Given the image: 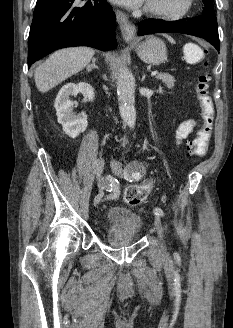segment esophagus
<instances>
[{"label": "esophagus", "instance_id": "34e87169", "mask_svg": "<svg viewBox=\"0 0 233 328\" xmlns=\"http://www.w3.org/2000/svg\"><path fill=\"white\" fill-rule=\"evenodd\" d=\"M116 18H117V22L120 27L123 38L127 41L135 39L136 27L129 20L127 14L120 10H117Z\"/></svg>", "mask_w": 233, "mask_h": 328}]
</instances>
